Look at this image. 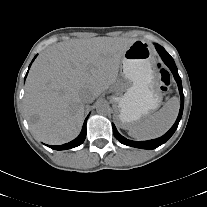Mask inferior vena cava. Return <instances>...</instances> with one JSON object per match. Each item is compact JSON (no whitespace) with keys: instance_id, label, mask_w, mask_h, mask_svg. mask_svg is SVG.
Here are the masks:
<instances>
[{"instance_id":"inferior-vena-cava-1","label":"inferior vena cava","mask_w":207,"mask_h":207,"mask_svg":"<svg viewBox=\"0 0 207 207\" xmlns=\"http://www.w3.org/2000/svg\"><path fill=\"white\" fill-rule=\"evenodd\" d=\"M81 99L83 103H91L93 102L94 97L90 92L84 91L81 93Z\"/></svg>"}]
</instances>
